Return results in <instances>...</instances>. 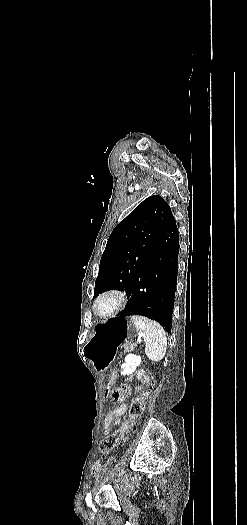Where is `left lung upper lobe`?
<instances>
[{"label":"left lung upper lobe","mask_w":247,"mask_h":525,"mask_svg":"<svg viewBox=\"0 0 247 525\" xmlns=\"http://www.w3.org/2000/svg\"><path fill=\"white\" fill-rule=\"evenodd\" d=\"M173 217L162 197L150 196L114 228L100 260L93 299L105 290H129L154 240Z\"/></svg>","instance_id":"obj_1"}]
</instances>
